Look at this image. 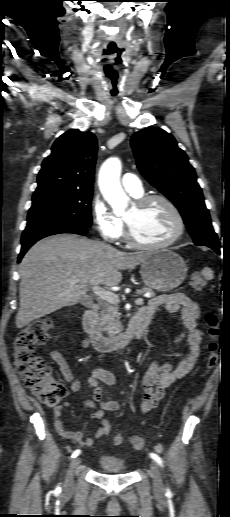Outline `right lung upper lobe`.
I'll use <instances>...</instances> for the list:
<instances>
[{
  "mask_svg": "<svg viewBox=\"0 0 230 517\" xmlns=\"http://www.w3.org/2000/svg\"><path fill=\"white\" fill-rule=\"evenodd\" d=\"M43 161L33 198L56 193L93 191L97 140L91 132L72 129L53 144Z\"/></svg>",
  "mask_w": 230,
  "mask_h": 517,
  "instance_id": "obj_1",
  "label": "right lung upper lobe"
}]
</instances>
